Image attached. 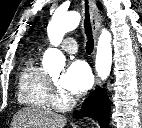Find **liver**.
<instances>
[{
	"label": "liver",
	"instance_id": "1",
	"mask_svg": "<svg viewBox=\"0 0 142 128\" xmlns=\"http://www.w3.org/2000/svg\"><path fill=\"white\" fill-rule=\"evenodd\" d=\"M64 116L43 108H23L13 117L12 128H64Z\"/></svg>",
	"mask_w": 142,
	"mask_h": 128
}]
</instances>
